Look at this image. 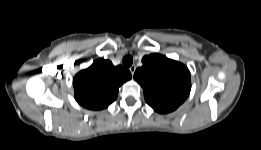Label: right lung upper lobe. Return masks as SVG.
Instances as JSON below:
<instances>
[{"label":"right lung upper lobe","instance_id":"1","mask_svg":"<svg viewBox=\"0 0 261 150\" xmlns=\"http://www.w3.org/2000/svg\"><path fill=\"white\" fill-rule=\"evenodd\" d=\"M130 78L131 73L121 65L113 66L109 60L98 59L75 75V99L87 109H104L117 98L119 87Z\"/></svg>","mask_w":261,"mask_h":150}]
</instances>
